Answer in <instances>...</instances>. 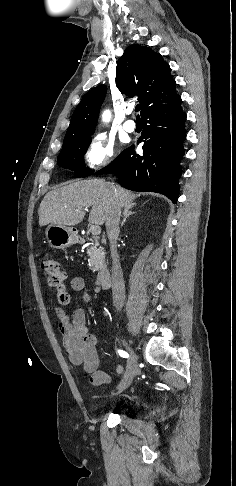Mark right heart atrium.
<instances>
[{
  "instance_id": "right-heart-atrium-1",
  "label": "right heart atrium",
  "mask_w": 236,
  "mask_h": 486,
  "mask_svg": "<svg viewBox=\"0 0 236 486\" xmlns=\"http://www.w3.org/2000/svg\"><path fill=\"white\" fill-rule=\"evenodd\" d=\"M116 155V146L112 139L104 133L96 134L89 142L84 160L91 169L108 165Z\"/></svg>"
}]
</instances>
